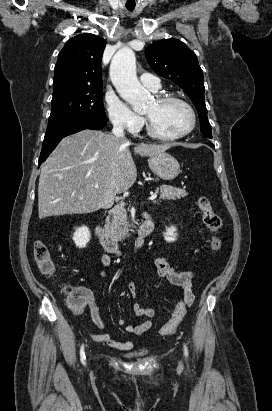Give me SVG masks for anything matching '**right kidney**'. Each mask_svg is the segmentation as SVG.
<instances>
[{"label": "right kidney", "instance_id": "ca27d5eb", "mask_svg": "<svg viewBox=\"0 0 272 411\" xmlns=\"http://www.w3.org/2000/svg\"><path fill=\"white\" fill-rule=\"evenodd\" d=\"M91 234L86 226L76 228V231L73 235V241L76 246L79 248H85L86 244L90 241Z\"/></svg>", "mask_w": 272, "mask_h": 411}]
</instances>
